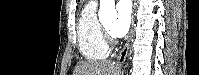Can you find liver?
<instances>
[{"instance_id":"liver-1","label":"liver","mask_w":199,"mask_h":75,"mask_svg":"<svg viewBox=\"0 0 199 75\" xmlns=\"http://www.w3.org/2000/svg\"><path fill=\"white\" fill-rule=\"evenodd\" d=\"M73 75H119V70L111 61H83L76 65Z\"/></svg>"}]
</instances>
